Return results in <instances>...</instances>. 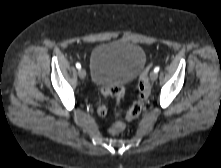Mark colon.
<instances>
[{
  "label": "colon",
  "mask_w": 221,
  "mask_h": 168,
  "mask_svg": "<svg viewBox=\"0 0 221 168\" xmlns=\"http://www.w3.org/2000/svg\"><path fill=\"white\" fill-rule=\"evenodd\" d=\"M150 68L151 66H148L140 76L138 83L139 96L138 99L131 105L129 110L124 115L125 119L127 120H133L137 118L142 112L144 102L146 101L150 92V86L148 82V71ZM103 94L113 96L119 103L124 97L125 88L121 84H114L108 87L107 89H105ZM96 110L97 113L101 116L105 115L107 112L106 106L102 102L97 103ZM123 129H124L123 123L116 122L110 125V127L108 128V132L110 134H117L121 132Z\"/></svg>",
  "instance_id": "obj_1"
}]
</instances>
